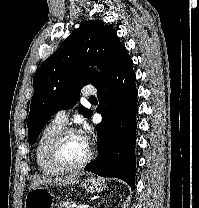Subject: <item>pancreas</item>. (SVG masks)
Instances as JSON below:
<instances>
[{
	"mask_svg": "<svg viewBox=\"0 0 199 208\" xmlns=\"http://www.w3.org/2000/svg\"><path fill=\"white\" fill-rule=\"evenodd\" d=\"M74 201H63L59 208H73Z\"/></svg>",
	"mask_w": 199,
	"mask_h": 208,
	"instance_id": "pancreas-1",
	"label": "pancreas"
}]
</instances>
